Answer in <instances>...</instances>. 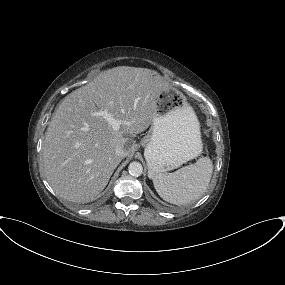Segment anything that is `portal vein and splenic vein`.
I'll return each instance as SVG.
<instances>
[{
  "label": "portal vein and splenic vein",
  "instance_id": "portal-vein-and-splenic-vein-1",
  "mask_svg": "<svg viewBox=\"0 0 285 285\" xmlns=\"http://www.w3.org/2000/svg\"><path fill=\"white\" fill-rule=\"evenodd\" d=\"M93 115L103 117L112 126L114 130H119L120 125L122 123L120 120H117L114 117H112L107 110H99L93 113Z\"/></svg>",
  "mask_w": 285,
  "mask_h": 285
}]
</instances>
